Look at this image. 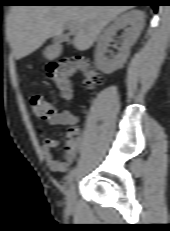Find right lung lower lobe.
<instances>
[{
  "mask_svg": "<svg viewBox=\"0 0 170 231\" xmlns=\"http://www.w3.org/2000/svg\"><path fill=\"white\" fill-rule=\"evenodd\" d=\"M62 2L49 3L45 0H35L34 5H113L114 3H124V5H149L154 11H157L160 5L159 0H61ZM97 1H114V2H97Z\"/></svg>",
  "mask_w": 170,
  "mask_h": 231,
  "instance_id": "right-lung-lower-lobe-1",
  "label": "right lung lower lobe"
}]
</instances>
